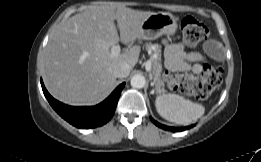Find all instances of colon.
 I'll return each instance as SVG.
<instances>
[{
    "instance_id": "obj_1",
    "label": "colon",
    "mask_w": 261,
    "mask_h": 162,
    "mask_svg": "<svg viewBox=\"0 0 261 162\" xmlns=\"http://www.w3.org/2000/svg\"><path fill=\"white\" fill-rule=\"evenodd\" d=\"M180 28L184 41L190 46L199 44L208 35L207 27L192 16L182 18ZM222 76V67L205 64L199 76L168 74L165 81L168 87L174 91L196 99H205L221 84Z\"/></svg>"
}]
</instances>
